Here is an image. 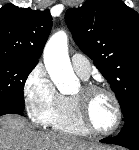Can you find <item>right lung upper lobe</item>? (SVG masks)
I'll return each instance as SVG.
<instances>
[{
  "mask_svg": "<svg viewBox=\"0 0 139 150\" xmlns=\"http://www.w3.org/2000/svg\"><path fill=\"white\" fill-rule=\"evenodd\" d=\"M51 27L49 10L4 5L0 9V56L38 63Z\"/></svg>",
  "mask_w": 139,
  "mask_h": 150,
  "instance_id": "obj_1",
  "label": "right lung upper lobe"
}]
</instances>
